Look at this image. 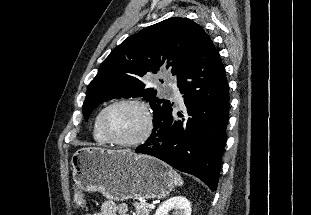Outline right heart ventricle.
<instances>
[{"mask_svg": "<svg viewBox=\"0 0 311 215\" xmlns=\"http://www.w3.org/2000/svg\"><path fill=\"white\" fill-rule=\"evenodd\" d=\"M101 111L100 110L95 119H94V124H93V137L95 139V141L99 144H106L108 143V141L104 138V136L101 134L100 132V129H99V117H100V114H101Z\"/></svg>", "mask_w": 311, "mask_h": 215, "instance_id": "obj_1", "label": "right heart ventricle"}]
</instances>
